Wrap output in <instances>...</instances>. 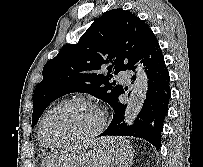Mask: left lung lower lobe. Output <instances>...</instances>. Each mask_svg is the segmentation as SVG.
Masks as SVG:
<instances>
[{
    "instance_id": "obj_1",
    "label": "left lung lower lobe",
    "mask_w": 203,
    "mask_h": 167,
    "mask_svg": "<svg viewBox=\"0 0 203 167\" xmlns=\"http://www.w3.org/2000/svg\"><path fill=\"white\" fill-rule=\"evenodd\" d=\"M141 60L145 66L148 80V90L143 107L133 125L124 122L126 104L119 101L113 106V119L108 128L100 136H134L152 143L156 149L161 146V132L164 119L168 113L170 99V77L164 63L162 50L156 39L143 51L136 63ZM135 63V64H136ZM136 66L130 68L135 71ZM131 80L136 76L131 74ZM127 90V88H125ZM123 91V93L125 92Z\"/></svg>"
}]
</instances>
